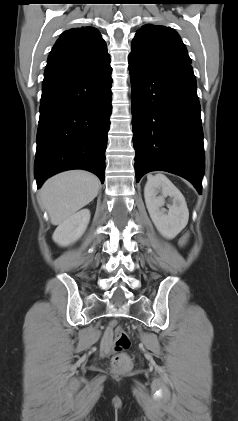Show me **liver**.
<instances>
[{
	"mask_svg": "<svg viewBox=\"0 0 238 421\" xmlns=\"http://www.w3.org/2000/svg\"><path fill=\"white\" fill-rule=\"evenodd\" d=\"M99 179L83 170H72L49 178L40 190V204L53 225H60L98 194Z\"/></svg>",
	"mask_w": 238,
	"mask_h": 421,
	"instance_id": "1",
	"label": "liver"
}]
</instances>
